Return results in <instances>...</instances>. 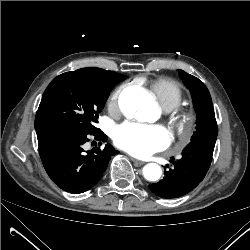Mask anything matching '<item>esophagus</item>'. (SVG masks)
I'll return each mask as SVG.
<instances>
[{"label": "esophagus", "instance_id": "esophagus-1", "mask_svg": "<svg viewBox=\"0 0 250 250\" xmlns=\"http://www.w3.org/2000/svg\"><path fill=\"white\" fill-rule=\"evenodd\" d=\"M131 160L133 161V163H134L135 166H141V165L144 164L143 161L135 159V158H132Z\"/></svg>", "mask_w": 250, "mask_h": 250}]
</instances>
